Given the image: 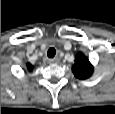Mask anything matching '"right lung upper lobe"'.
Instances as JSON below:
<instances>
[{
    "instance_id": "right-lung-upper-lobe-1",
    "label": "right lung upper lobe",
    "mask_w": 115,
    "mask_h": 114,
    "mask_svg": "<svg viewBox=\"0 0 115 114\" xmlns=\"http://www.w3.org/2000/svg\"><path fill=\"white\" fill-rule=\"evenodd\" d=\"M27 68L29 71H31L33 69V66L30 63H27Z\"/></svg>"
}]
</instances>
